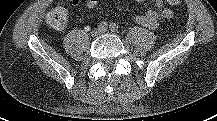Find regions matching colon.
I'll return each instance as SVG.
<instances>
[{
	"label": "colon",
	"mask_w": 217,
	"mask_h": 121,
	"mask_svg": "<svg viewBox=\"0 0 217 121\" xmlns=\"http://www.w3.org/2000/svg\"><path fill=\"white\" fill-rule=\"evenodd\" d=\"M182 0H166L172 6H178ZM48 24L55 29H63L67 25L68 12L64 6H57L50 10L46 16Z\"/></svg>",
	"instance_id": "1"
}]
</instances>
